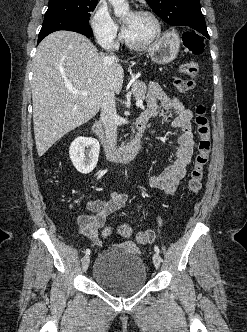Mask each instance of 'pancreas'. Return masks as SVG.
<instances>
[{"label":"pancreas","mask_w":247,"mask_h":332,"mask_svg":"<svg viewBox=\"0 0 247 332\" xmlns=\"http://www.w3.org/2000/svg\"><path fill=\"white\" fill-rule=\"evenodd\" d=\"M132 92L136 100H144L146 98L147 87L146 84L141 81H136L132 85Z\"/></svg>","instance_id":"1"}]
</instances>
